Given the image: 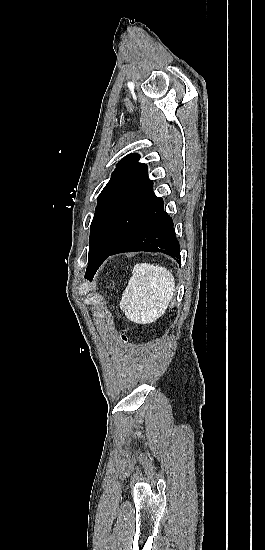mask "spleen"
<instances>
[{
	"mask_svg": "<svg viewBox=\"0 0 265 550\" xmlns=\"http://www.w3.org/2000/svg\"><path fill=\"white\" fill-rule=\"evenodd\" d=\"M175 292V280L165 267L136 264L120 301L126 317L137 324H149L164 315Z\"/></svg>",
	"mask_w": 265,
	"mask_h": 550,
	"instance_id": "spleen-1",
	"label": "spleen"
}]
</instances>
